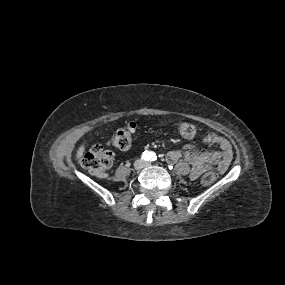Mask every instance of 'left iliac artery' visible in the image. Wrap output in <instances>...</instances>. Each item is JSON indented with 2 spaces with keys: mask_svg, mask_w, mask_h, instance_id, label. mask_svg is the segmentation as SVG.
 I'll list each match as a JSON object with an SVG mask.
<instances>
[{
  "mask_svg": "<svg viewBox=\"0 0 285 285\" xmlns=\"http://www.w3.org/2000/svg\"><path fill=\"white\" fill-rule=\"evenodd\" d=\"M157 159V156L154 152L150 153V161H155Z\"/></svg>",
  "mask_w": 285,
  "mask_h": 285,
  "instance_id": "obj_1",
  "label": "left iliac artery"
}]
</instances>
